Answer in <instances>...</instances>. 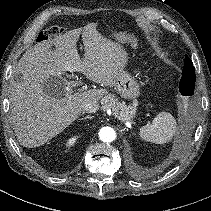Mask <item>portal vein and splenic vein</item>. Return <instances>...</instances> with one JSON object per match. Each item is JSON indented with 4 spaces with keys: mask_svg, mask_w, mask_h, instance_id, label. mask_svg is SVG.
I'll return each mask as SVG.
<instances>
[{
    "mask_svg": "<svg viewBox=\"0 0 211 211\" xmlns=\"http://www.w3.org/2000/svg\"><path fill=\"white\" fill-rule=\"evenodd\" d=\"M66 91H67V93H69V94H71L73 91H72V88L71 87H66Z\"/></svg>",
    "mask_w": 211,
    "mask_h": 211,
    "instance_id": "1",
    "label": "portal vein and splenic vein"
}]
</instances>
